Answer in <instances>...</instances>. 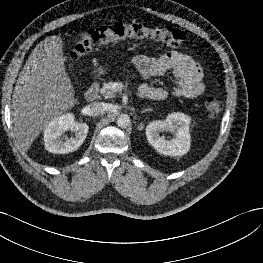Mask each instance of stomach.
Masks as SVG:
<instances>
[{"mask_svg": "<svg viewBox=\"0 0 263 263\" xmlns=\"http://www.w3.org/2000/svg\"><path fill=\"white\" fill-rule=\"evenodd\" d=\"M107 71H108V68H107V67H105V66H100V67L98 68V70H97V74H98V76H101V75L106 74Z\"/></svg>", "mask_w": 263, "mask_h": 263, "instance_id": "1", "label": "stomach"}]
</instances>
